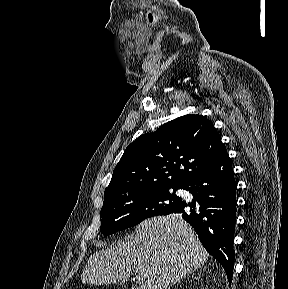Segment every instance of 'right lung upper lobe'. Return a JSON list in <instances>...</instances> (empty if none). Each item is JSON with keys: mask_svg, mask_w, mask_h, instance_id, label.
I'll return each instance as SVG.
<instances>
[{"mask_svg": "<svg viewBox=\"0 0 288 289\" xmlns=\"http://www.w3.org/2000/svg\"><path fill=\"white\" fill-rule=\"evenodd\" d=\"M226 152L217 130L200 115H185L138 137L116 165L104 198L179 187Z\"/></svg>", "mask_w": 288, "mask_h": 289, "instance_id": "obj_1", "label": "right lung upper lobe"}]
</instances>
